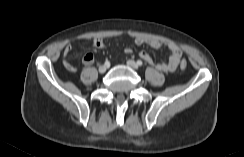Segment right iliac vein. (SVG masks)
I'll list each match as a JSON object with an SVG mask.
<instances>
[{
    "label": "right iliac vein",
    "instance_id": "right-iliac-vein-1",
    "mask_svg": "<svg viewBox=\"0 0 244 157\" xmlns=\"http://www.w3.org/2000/svg\"><path fill=\"white\" fill-rule=\"evenodd\" d=\"M106 70H107V66H106V65H101V66L99 67V72H100V73H105Z\"/></svg>",
    "mask_w": 244,
    "mask_h": 157
}]
</instances>
